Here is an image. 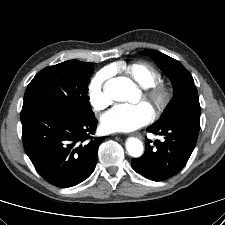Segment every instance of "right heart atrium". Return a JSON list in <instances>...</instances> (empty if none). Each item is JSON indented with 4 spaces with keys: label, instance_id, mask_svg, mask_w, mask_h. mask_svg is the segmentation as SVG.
<instances>
[{
    "label": "right heart atrium",
    "instance_id": "d8ad5b80",
    "mask_svg": "<svg viewBox=\"0 0 225 225\" xmlns=\"http://www.w3.org/2000/svg\"><path fill=\"white\" fill-rule=\"evenodd\" d=\"M110 75L108 69L101 70L95 74L89 84V101L92 108L99 112L107 108L110 99L106 93L105 84Z\"/></svg>",
    "mask_w": 225,
    "mask_h": 225
}]
</instances>
